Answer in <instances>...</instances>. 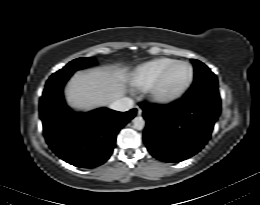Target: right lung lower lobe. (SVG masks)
<instances>
[{"label":"right lung lower lobe","instance_id":"obj_1","mask_svg":"<svg viewBox=\"0 0 260 205\" xmlns=\"http://www.w3.org/2000/svg\"><path fill=\"white\" fill-rule=\"evenodd\" d=\"M74 71L54 73L40 99V118L49 147L64 161L83 168L103 164L112 154L119 130L136 109L118 112L100 108L73 113L63 99V86Z\"/></svg>","mask_w":260,"mask_h":205}]
</instances>
